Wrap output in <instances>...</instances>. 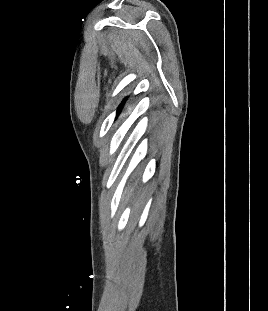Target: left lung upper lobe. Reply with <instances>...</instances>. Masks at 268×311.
<instances>
[{
	"label": "left lung upper lobe",
	"mask_w": 268,
	"mask_h": 311,
	"mask_svg": "<svg viewBox=\"0 0 268 311\" xmlns=\"http://www.w3.org/2000/svg\"><path fill=\"white\" fill-rule=\"evenodd\" d=\"M126 100V99H125ZM125 100L121 103V105L117 109V114H119L123 108V105L125 104Z\"/></svg>",
	"instance_id": "obj_1"
}]
</instances>
